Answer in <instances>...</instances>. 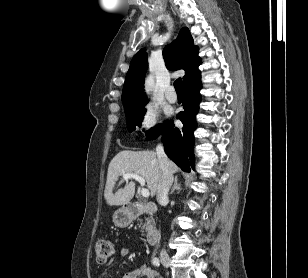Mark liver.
Masks as SVG:
<instances>
[{"instance_id":"6515ba94","label":"liver","mask_w":308,"mask_h":278,"mask_svg":"<svg viewBox=\"0 0 308 278\" xmlns=\"http://www.w3.org/2000/svg\"><path fill=\"white\" fill-rule=\"evenodd\" d=\"M170 169L172 173H175L179 168L170 161ZM124 173H135L142 176L147 183L151 196H155L161 177V170L155 152L150 150H123L111 160L104 191V198L108 205L120 206L128 204L133 198L135 193V183L133 181L113 193L116 182Z\"/></svg>"}]
</instances>
